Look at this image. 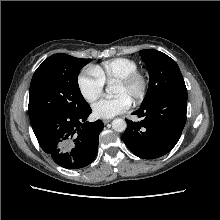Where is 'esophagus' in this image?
Here are the masks:
<instances>
[{"label":"esophagus","mask_w":220,"mask_h":220,"mask_svg":"<svg viewBox=\"0 0 220 220\" xmlns=\"http://www.w3.org/2000/svg\"><path fill=\"white\" fill-rule=\"evenodd\" d=\"M111 120L110 119H103V123L104 124H107V123H109Z\"/></svg>","instance_id":"obj_1"}]
</instances>
